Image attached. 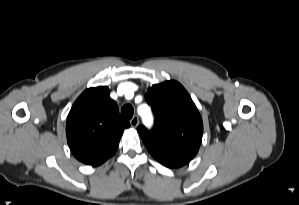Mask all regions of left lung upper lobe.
<instances>
[{
	"label": "left lung upper lobe",
	"instance_id": "1",
	"mask_svg": "<svg viewBox=\"0 0 299 205\" xmlns=\"http://www.w3.org/2000/svg\"><path fill=\"white\" fill-rule=\"evenodd\" d=\"M155 115L151 130L137 128L147 145L174 143L199 147L203 135L202 118L190 95L176 81H165L150 87L145 95Z\"/></svg>",
	"mask_w": 299,
	"mask_h": 205
}]
</instances>
